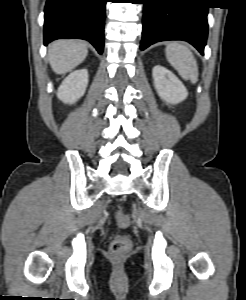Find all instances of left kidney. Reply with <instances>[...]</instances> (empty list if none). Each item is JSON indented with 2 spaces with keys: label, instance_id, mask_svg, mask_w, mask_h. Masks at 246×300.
<instances>
[{
  "label": "left kidney",
  "instance_id": "obj_1",
  "mask_svg": "<svg viewBox=\"0 0 246 300\" xmlns=\"http://www.w3.org/2000/svg\"><path fill=\"white\" fill-rule=\"evenodd\" d=\"M153 80L160 97L170 104H178L188 96L183 83L168 69L161 65L153 68Z\"/></svg>",
  "mask_w": 246,
  "mask_h": 300
}]
</instances>
